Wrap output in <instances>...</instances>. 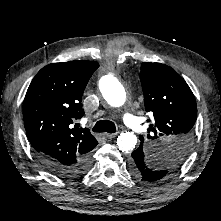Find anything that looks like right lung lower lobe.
Masks as SVG:
<instances>
[{
  "label": "right lung lower lobe",
  "mask_w": 221,
  "mask_h": 221,
  "mask_svg": "<svg viewBox=\"0 0 221 221\" xmlns=\"http://www.w3.org/2000/svg\"><path fill=\"white\" fill-rule=\"evenodd\" d=\"M40 162L54 175L70 178L83 174L91 166V154L73 163H62L57 160L37 155Z\"/></svg>",
  "instance_id": "1"
}]
</instances>
